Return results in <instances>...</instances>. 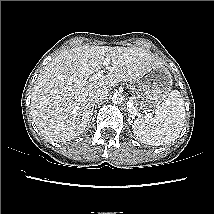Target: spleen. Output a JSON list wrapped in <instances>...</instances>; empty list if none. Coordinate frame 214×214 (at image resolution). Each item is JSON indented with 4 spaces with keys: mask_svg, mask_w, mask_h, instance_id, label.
<instances>
[{
    "mask_svg": "<svg viewBox=\"0 0 214 214\" xmlns=\"http://www.w3.org/2000/svg\"><path fill=\"white\" fill-rule=\"evenodd\" d=\"M184 121V102L180 92L172 90L167 99L155 110V116L148 114L136 119L132 129L140 142L160 146L177 138Z\"/></svg>",
    "mask_w": 214,
    "mask_h": 214,
    "instance_id": "obj_1",
    "label": "spleen"
}]
</instances>
